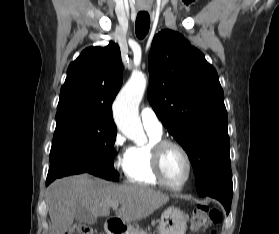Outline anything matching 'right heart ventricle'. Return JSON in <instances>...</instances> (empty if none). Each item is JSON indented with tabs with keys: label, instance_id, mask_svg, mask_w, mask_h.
<instances>
[{
	"label": "right heart ventricle",
	"instance_id": "e07e8e85",
	"mask_svg": "<svg viewBox=\"0 0 279 234\" xmlns=\"http://www.w3.org/2000/svg\"><path fill=\"white\" fill-rule=\"evenodd\" d=\"M147 132L149 142L130 147L123 158L122 169L129 182L142 186H156L160 183L152 168V146L161 139L162 134Z\"/></svg>",
	"mask_w": 279,
	"mask_h": 234
}]
</instances>
